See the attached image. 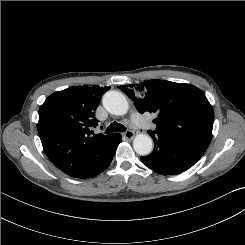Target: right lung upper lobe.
I'll list each match as a JSON object with an SVG mask.
<instances>
[{
    "label": "right lung upper lobe",
    "mask_w": 245,
    "mask_h": 245,
    "mask_svg": "<svg viewBox=\"0 0 245 245\" xmlns=\"http://www.w3.org/2000/svg\"><path fill=\"white\" fill-rule=\"evenodd\" d=\"M109 89L70 87L51 94L39 108L37 129L44 152L71 177L93 176L111 150L117 133L90 135L93 132L90 128L98 125L94 111Z\"/></svg>",
    "instance_id": "right-lung-upper-lobe-1"
}]
</instances>
